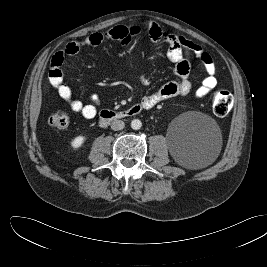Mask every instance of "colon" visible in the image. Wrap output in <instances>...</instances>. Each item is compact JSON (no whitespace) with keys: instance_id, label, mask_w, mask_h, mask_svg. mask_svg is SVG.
Masks as SVG:
<instances>
[{"instance_id":"5ec220e1","label":"colon","mask_w":267,"mask_h":267,"mask_svg":"<svg viewBox=\"0 0 267 267\" xmlns=\"http://www.w3.org/2000/svg\"><path fill=\"white\" fill-rule=\"evenodd\" d=\"M233 107L232 94L224 89L218 90L212 97V109L216 116H226ZM49 124L51 127L57 130H64L69 126V117L64 112H56L49 118Z\"/></svg>"}]
</instances>
